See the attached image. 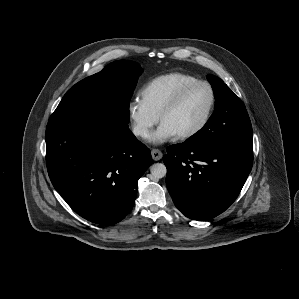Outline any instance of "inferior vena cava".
<instances>
[{"label":"inferior vena cava","mask_w":299,"mask_h":299,"mask_svg":"<svg viewBox=\"0 0 299 299\" xmlns=\"http://www.w3.org/2000/svg\"><path fill=\"white\" fill-rule=\"evenodd\" d=\"M133 133L136 136H139V135L140 136H146L148 132H147V129L142 127V126H135L133 128Z\"/></svg>","instance_id":"inferior-vena-cava-1"}]
</instances>
